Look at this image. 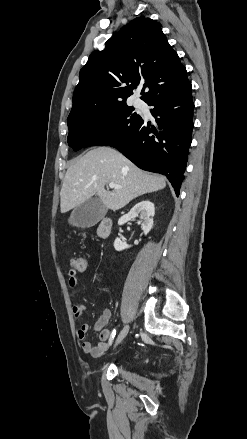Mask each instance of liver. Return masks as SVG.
Instances as JSON below:
<instances>
[{
    "mask_svg": "<svg viewBox=\"0 0 247 439\" xmlns=\"http://www.w3.org/2000/svg\"><path fill=\"white\" fill-rule=\"evenodd\" d=\"M108 183L121 188L107 191ZM165 186L163 176L142 171L118 151L110 147L94 148L68 167L60 192L61 213L76 208L95 194L107 209L115 211L134 198Z\"/></svg>",
    "mask_w": 247,
    "mask_h": 439,
    "instance_id": "6515ba94",
    "label": "liver"
}]
</instances>
